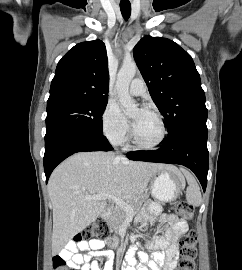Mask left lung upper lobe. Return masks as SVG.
Returning a JSON list of instances; mask_svg holds the SVG:
<instances>
[{
    "mask_svg": "<svg viewBox=\"0 0 242 270\" xmlns=\"http://www.w3.org/2000/svg\"><path fill=\"white\" fill-rule=\"evenodd\" d=\"M133 52L149 93L165 118L168 136L188 124L206 123L205 93L186 51L167 38L145 36Z\"/></svg>",
    "mask_w": 242,
    "mask_h": 270,
    "instance_id": "5c2ea615",
    "label": "left lung upper lobe"
}]
</instances>
